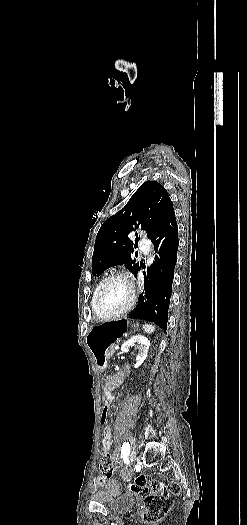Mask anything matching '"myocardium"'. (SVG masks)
<instances>
[{"mask_svg":"<svg viewBox=\"0 0 247 525\" xmlns=\"http://www.w3.org/2000/svg\"><path fill=\"white\" fill-rule=\"evenodd\" d=\"M112 278H126L128 280L131 281L132 283V288H131V295L129 297V299L127 300V302L123 305H120L118 307H115L113 309H102L101 307L98 306V303H97V299H98V294H99V291L100 289L103 287V285L109 281L110 279ZM134 285H135V279L133 277V275L129 272H126V271H115L111 274H109L107 277H105L103 280H101L94 292H93V300H94V308H95V311L102 315V316H105V317H111V316H116V315H121V314H124L126 313L133 305H134V302H135V292H134Z\"/></svg>","mask_w":247,"mask_h":525,"instance_id":"myocardium-1","label":"myocardium"}]
</instances>
